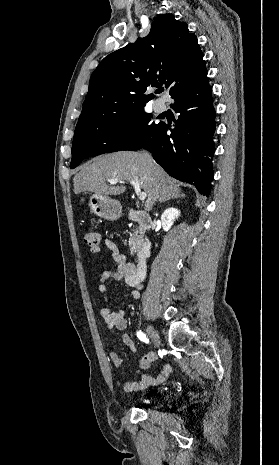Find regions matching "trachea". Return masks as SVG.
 Segmentation results:
<instances>
[{"mask_svg": "<svg viewBox=\"0 0 279 465\" xmlns=\"http://www.w3.org/2000/svg\"><path fill=\"white\" fill-rule=\"evenodd\" d=\"M163 90H164L163 88H159V89H158L159 92H162Z\"/></svg>", "mask_w": 279, "mask_h": 465, "instance_id": "3493384b", "label": "trachea"}]
</instances>
